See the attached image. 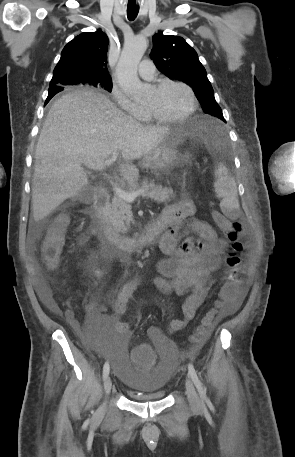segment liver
<instances>
[{"label": "liver", "mask_w": 295, "mask_h": 457, "mask_svg": "<svg viewBox=\"0 0 295 457\" xmlns=\"http://www.w3.org/2000/svg\"><path fill=\"white\" fill-rule=\"evenodd\" d=\"M172 130L145 126L125 115L110 99L92 90L67 93L52 105L35 151L32 213L40 221L88 185L83 166L100 171L120 152L119 171L134 182V159L145 157Z\"/></svg>", "instance_id": "liver-1"}]
</instances>
